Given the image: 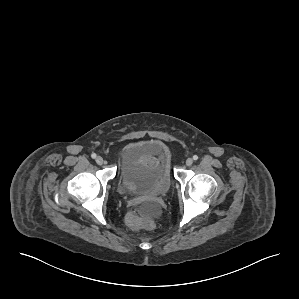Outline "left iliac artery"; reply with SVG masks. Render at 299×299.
I'll list each match as a JSON object with an SVG mask.
<instances>
[{
	"mask_svg": "<svg viewBox=\"0 0 299 299\" xmlns=\"http://www.w3.org/2000/svg\"><path fill=\"white\" fill-rule=\"evenodd\" d=\"M198 159V156L197 155H194L193 156V160H197Z\"/></svg>",
	"mask_w": 299,
	"mask_h": 299,
	"instance_id": "left-iliac-artery-1",
	"label": "left iliac artery"
}]
</instances>
